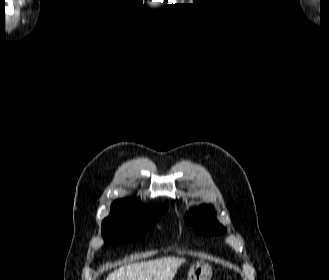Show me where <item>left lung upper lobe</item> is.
Segmentation results:
<instances>
[{
    "label": "left lung upper lobe",
    "instance_id": "left-lung-upper-lobe-1",
    "mask_svg": "<svg viewBox=\"0 0 329 280\" xmlns=\"http://www.w3.org/2000/svg\"><path fill=\"white\" fill-rule=\"evenodd\" d=\"M214 209L211 206H201L198 211H190L185 216L188 225H192L199 234L215 235L226 232V229L214 218Z\"/></svg>",
    "mask_w": 329,
    "mask_h": 280
}]
</instances>
